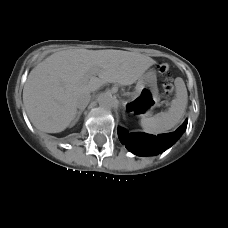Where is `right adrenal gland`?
I'll use <instances>...</instances> for the list:
<instances>
[{"mask_svg":"<svg viewBox=\"0 0 228 228\" xmlns=\"http://www.w3.org/2000/svg\"><path fill=\"white\" fill-rule=\"evenodd\" d=\"M83 111H84V109L77 111V115H76V118L74 119V121L72 123V126L80 119V116H81Z\"/></svg>","mask_w":228,"mask_h":228,"instance_id":"obj_1","label":"right adrenal gland"}]
</instances>
